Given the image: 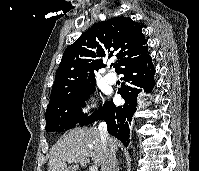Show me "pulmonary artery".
Listing matches in <instances>:
<instances>
[{
    "label": "pulmonary artery",
    "instance_id": "pulmonary-artery-1",
    "mask_svg": "<svg viewBox=\"0 0 199 171\" xmlns=\"http://www.w3.org/2000/svg\"><path fill=\"white\" fill-rule=\"evenodd\" d=\"M105 81L108 84L113 85L116 82V77L112 73H108L105 75Z\"/></svg>",
    "mask_w": 199,
    "mask_h": 171
}]
</instances>
